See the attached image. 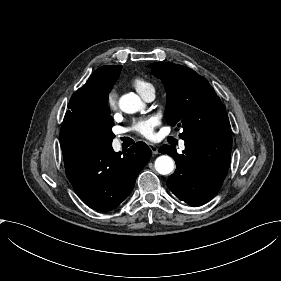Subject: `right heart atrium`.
Segmentation results:
<instances>
[{
  "label": "right heart atrium",
  "instance_id": "d8ad5b80",
  "mask_svg": "<svg viewBox=\"0 0 281 281\" xmlns=\"http://www.w3.org/2000/svg\"><path fill=\"white\" fill-rule=\"evenodd\" d=\"M118 101V94L115 90H110L107 94V104L110 107H115Z\"/></svg>",
  "mask_w": 281,
  "mask_h": 281
}]
</instances>
